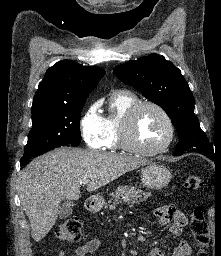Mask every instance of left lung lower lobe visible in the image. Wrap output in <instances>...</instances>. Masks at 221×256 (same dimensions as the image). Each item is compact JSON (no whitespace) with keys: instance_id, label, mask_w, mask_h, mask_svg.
Listing matches in <instances>:
<instances>
[{"instance_id":"obj_1","label":"left lung lower lobe","mask_w":221,"mask_h":256,"mask_svg":"<svg viewBox=\"0 0 221 256\" xmlns=\"http://www.w3.org/2000/svg\"><path fill=\"white\" fill-rule=\"evenodd\" d=\"M190 151H194V152H197V153H201L203 154L204 156L210 158L211 160H216V155L214 153H208V152H203L201 150H198V149H192ZM184 151H178V152H175L173 155L177 156V155H181L183 154Z\"/></svg>"}]
</instances>
